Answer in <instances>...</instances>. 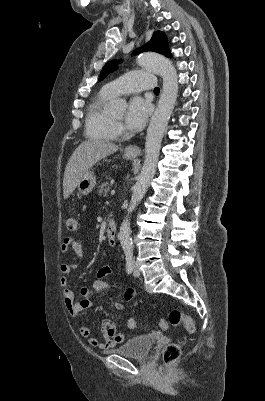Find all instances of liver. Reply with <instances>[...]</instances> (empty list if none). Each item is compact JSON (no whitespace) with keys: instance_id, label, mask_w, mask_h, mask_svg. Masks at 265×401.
Segmentation results:
<instances>
[{"instance_id":"liver-1","label":"liver","mask_w":265,"mask_h":401,"mask_svg":"<svg viewBox=\"0 0 265 401\" xmlns=\"http://www.w3.org/2000/svg\"><path fill=\"white\" fill-rule=\"evenodd\" d=\"M118 150L117 144L109 142V140H84L77 148H75L72 156H70L66 168L64 170L63 178V196L68 198L69 194H72L75 190L78 180L83 178L87 170H90L91 166L113 154Z\"/></svg>"}]
</instances>
